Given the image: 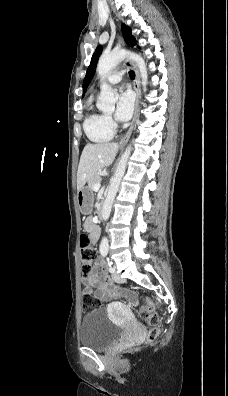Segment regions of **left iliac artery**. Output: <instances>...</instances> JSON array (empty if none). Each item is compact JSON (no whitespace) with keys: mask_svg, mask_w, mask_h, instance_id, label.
<instances>
[{"mask_svg":"<svg viewBox=\"0 0 228 396\" xmlns=\"http://www.w3.org/2000/svg\"><path fill=\"white\" fill-rule=\"evenodd\" d=\"M103 257L107 256V252L101 253ZM115 269L112 267V263L109 262V272L113 273Z\"/></svg>","mask_w":228,"mask_h":396,"instance_id":"obj_1","label":"left iliac artery"}]
</instances>
